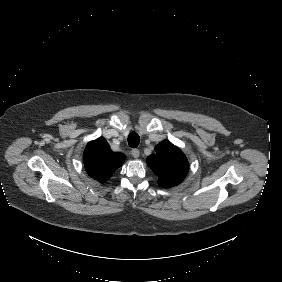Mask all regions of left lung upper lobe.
Returning <instances> with one entry per match:
<instances>
[{
    "instance_id": "left-lung-upper-lobe-1",
    "label": "left lung upper lobe",
    "mask_w": 282,
    "mask_h": 282,
    "mask_svg": "<svg viewBox=\"0 0 282 282\" xmlns=\"http://www.w3.org/2000/svg\"><path fill=\"white\" fill-rule=\"evenodd\" d=\"M147 164L159 177L158 184L163 188L180 184L189 170L186 156L168 140L156 146V153L147 158Z\"/></svg>"
}]
</instances>
